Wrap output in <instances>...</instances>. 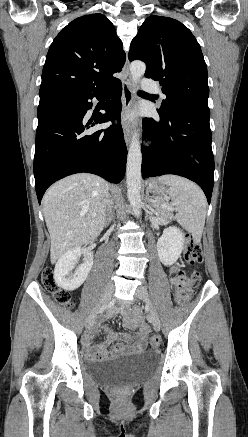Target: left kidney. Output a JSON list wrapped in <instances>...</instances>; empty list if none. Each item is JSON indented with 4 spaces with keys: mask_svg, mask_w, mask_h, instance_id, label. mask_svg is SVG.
Segmentation results:
<instances>
[{
    "mask_svg": "<svg viewBox=\"0 0 248 437\" xmlns=\"http://www.w3.org/2000/svg\"><path fill=\"white\" fill-rule=\"evenodd\" d=\"M184 233L177 227H169L163 231L157 241V251L164 265H172L180 257L184 244Z\"/></svg>",
    "mask_w": 248,
    "mask_h": 437,
    "instance_id": "1",
    "label": "left kidney"
}]
</instances>
